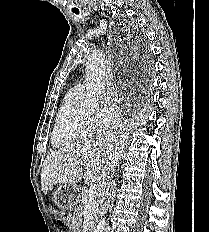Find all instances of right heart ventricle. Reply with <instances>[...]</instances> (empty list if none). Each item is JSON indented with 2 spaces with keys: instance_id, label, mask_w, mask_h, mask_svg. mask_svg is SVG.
<instances>
[{
  "instance_id": "1",
  "label": "right heart ventricle",
  "mask_w": 209,
  "mask_h": 232,
  "mask_svg": "<svg viewBox=\"0 0 209 232\" xmlns=\"http://www.w3.org/2000/svg\"><path fill=\"white\" fill-rule=\"evenodd\" d=\"M82 92L75 88L65 96L56 116L52 144L64 148L91 139L96 133L93 118L80 107Z\"/></svg>"
}]
</instances>
